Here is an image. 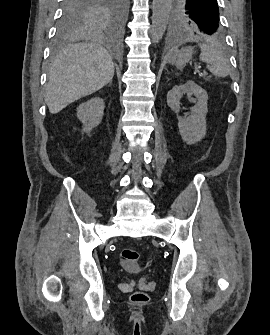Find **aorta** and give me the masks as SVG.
<instances>
[{"mask_svg":"<svg viewBox=\"0 0 270 335\" xmlns=\"http://www.w3.org/2000/svg\"><path fill=\"white\" fill-rule=\"evenodd\" d=\"M172 0H153L151 38L154 44L161 40L168 24Z\"/></svg>","mask_w":270,"mask_h":335,"instance_id":"aorta-1","label":"aorta"}]
</instances>
